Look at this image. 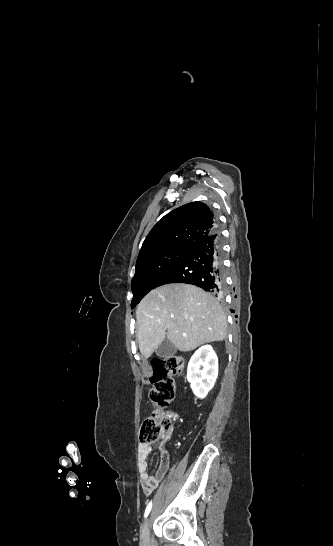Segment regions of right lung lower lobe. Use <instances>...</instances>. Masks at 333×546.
<instances>
[{
	"instance_id": "1",
	"label": "right lung lower lobe",
	"mask_w": 333,
	"mask_h": 546,
	"mask_svg": "<svg viewBox=\"0 0 333 546\" xmlns=\"http://www.w3.org/2000/svg\"><path fill=\"white\" fill-rule=\"evenodd\" d=\"M222 258V238L216 228L213 233L199 240L191 251L160 279L156 287L168 283H186L221 295L224 286Z\"/></svg>"
}]
</instances>
